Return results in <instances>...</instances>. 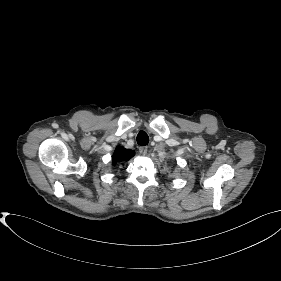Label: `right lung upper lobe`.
<instances>
[{"label":"right lung upper lobe","instance_id":"1","mask_svg":"<svg viewBox=\"0 0 281 281\" xmlns=\"http://www.w3.org/2000/svg\"><path fill=\"white\" fill-rule=\"evenodd\" d=\"M134 154L135 152L133 150L125 149L123 147L118 146L112 157L113 165L120 162L128 161L134 156Z\"/></svg>","mask_w":281,"mask_h":281}]
</instances>
